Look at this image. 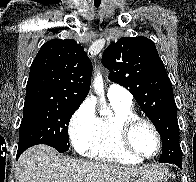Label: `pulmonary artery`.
Wrapping results in <instances>:
<instances>
[{
	"mask_svg": "<svg viewBox=\"0 0 196 182\" xmlns=\"http://www.w3.org/2000/svg\"><path fill=\"white\" fill-rule=\"evenodd\" d=\"M109 100L121 101L124 103H132V94L124 87L118 84H111L107 89Z\"/></svg>",
	"mask_w": 196,
	"mask_h": 182,
	"instance_id": "e3ab8cb5",
	"label": "pulmonary artery"
}]
</instances>
